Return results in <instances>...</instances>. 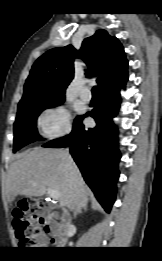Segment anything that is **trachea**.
Segmentation results:
<instances>
[{
  "instance_id": "obj_1",
  "label": "trachea",
  "mask_w": 162,
  "mask_h": 261,
  "mask_svg": "<svg viewBox=\"0 0 162 261\" xmlns=\"http://www.w3.org/2000/svg\"><path fill=\"white\" fill-rule=\"evenodd\" d=\"M92 94L93 95H99V87L98 86H94L92 88Z\"/></svg>"
}]
</instances>
